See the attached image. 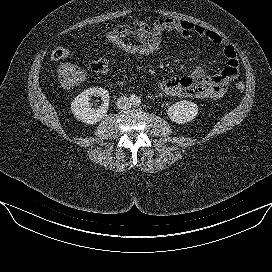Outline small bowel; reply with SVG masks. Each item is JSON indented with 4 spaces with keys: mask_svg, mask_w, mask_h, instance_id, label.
I'll use <instances>...</instances> for the list:
<instances>
[{
    "mask_svg": "<svg viewBox=\"0 0 272 272\" xmlns=\"http://www.w3.org/2000/svg\"><path fill=\"white\" fill-rule=\"evenodd\" d=\"M111 30L140 40L163 41L165 32H176L185 39L198 35L221 48L226 65L217 74L208 75L201 65H197L189 76L161 81L159 89L170 97L216 100L225 94L229 83L238 76L239 63L234 47L222 35L204 26L173 18L159 19L152 25L132 19L130 23H121Z\"/></svg>",
    "mask_w": 272,
    "mask_h": 272,
    "instance_id": "1",
    "label": "small bowel"
}]
</instances>
